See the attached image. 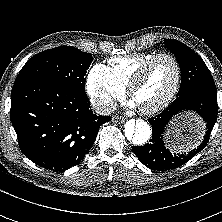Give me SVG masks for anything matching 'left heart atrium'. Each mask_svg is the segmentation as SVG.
I'll return each mask as SVG.
<instances>
[{"label":"left heart atrium","mask_w":222,"mask_h":222,"mask_svg":"<svg viewBox=\"0 0 222 222\" xmlns=\"http://www.w3.org/2000/svg\"><path fill=\"white\" fill-rule=\"evenodd\" d=\"M130 105H131L132 107L138 106L137 103H136L134 100H132V101L130 102Z\"/></svg>","instance_id":"1"}]
</instances>
